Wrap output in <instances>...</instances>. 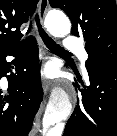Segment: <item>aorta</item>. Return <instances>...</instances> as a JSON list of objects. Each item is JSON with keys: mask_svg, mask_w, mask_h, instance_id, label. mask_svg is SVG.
<instances>
[{"mask_svg": "<svg viewBox=\"0 0 117 136\" xmlns=\"http://www.w3.org/2000/svg\"><path fill=\"white\" fill-rule=\"evenodd\" d=\"M46 27L55 37H65L70 33L71 23L68 17L61 12H50L46 18ZM72 112V103L69 94L60 88L54 89L43 116V136L51 126L65 120Z\"/></svg>", "mask_w": 117, "mask_h": 136, "instance_id": "1", "label": "aorta"}]
</instances>
